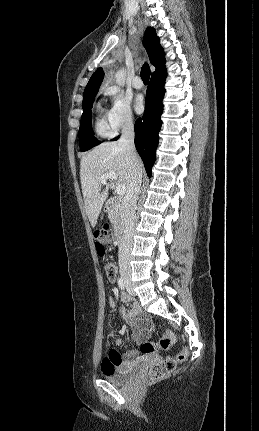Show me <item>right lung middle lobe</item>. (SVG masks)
<instances>
[{
    "label": "right lung middle lobe",
    "instance_id": "dd1d6c3e",
    "mask_svg": "<svg viewBox=\"0 0 259 431\" xmlns=\"http://www.w3.org/2000/svg\"><path fill=\"white\" fill-rule=\"evenodd\" d=\"M97 92L87 93L83 97V114L81 117L79 129V143L81 151H87L100 144V141L94 137L91 127V109Z\"/></svg>",
    "mask_w": 259,
    "mask_h": 431
}]
</instances>
